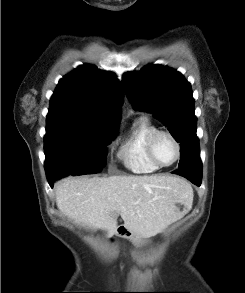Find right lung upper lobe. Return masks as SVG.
Segmentation results:
<instances>
[{"instance_id":"right-lung-upper-lobe-1","label":"right lung upper lobe","mask_w":245,"mask_h":293,"mask_svg":"<svg viewBox=\"0 0 245 293\" xmlns=\"http://www.w3.org/2000/svg\"><path fill=\"white\" fill-rule=\"evenodd\" d=\"M122 101L123 88L116 75L85 64L59 81L47 119L116 127Z\"/></svg>"}]
</instances>
